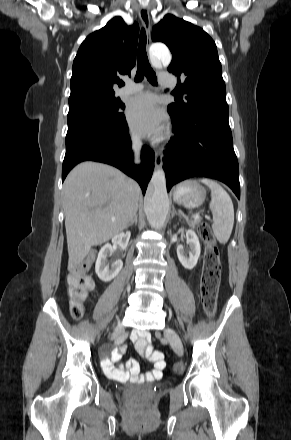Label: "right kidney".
<instances>
[{"label": "right kidney", "mask_w": 291, "mask_h": 440, "mask_svg": "<svg viewBox=\"0 0 291 440\" xmlns=\"http://www.w3.org/2000/svg\"><path fill=\"white\" fill-rule=\"evenodd\" d=\"M131 233L129 231L125 233H119L112 238V244L119 245L124 248L127 246ZM111 244H105L99 251L98 257L95 264V271L99 279L104 282H109L115 278L123 267V262L121 260H116L109 266L107 261L108 255L112 254L114 247Z\"/></svg>", "instance_id": "right-kidney-1"}]
</instances>
